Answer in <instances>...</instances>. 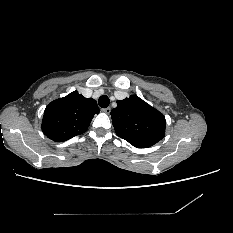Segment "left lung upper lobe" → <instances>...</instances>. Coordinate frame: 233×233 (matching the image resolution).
<instances>
[{
	"label": "left lung upper lobe",
	"mask_w": 233,
	"mask_h": 233,
	"mask_svg": "<svg viewBox=\"0 0 233 233\" xmlns=\"http://www.w3.org/2000/svg\"><path fill=\"white\" fill-rule=\"evenodd\" d=\"M116 134L134 147H150L165 136V117L136 95L117 101L111 113Z\"/></svg>",
	"instance_id": "obj_1"
}]
</instances>
